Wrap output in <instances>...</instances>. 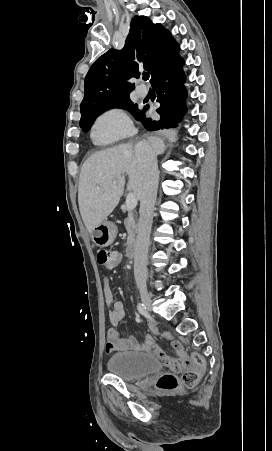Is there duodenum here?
I'll use <instances>...</instances> for the list:
<instances>
[{
	"mask_svg": "<svg viewBox=\"0 0 272 451\" xmlns=\"http://www.w3.org/2000/svg\"><path fill=\"white\" fill-rule=\"evenodd\" d=\"M135 255H136V250H135V247L134 246H129L128 248H127V257L129 258V259H134L135 258Z\"/></svg>",
	"mask_w": 272,
	"mask_h": 451,
	"instance_id": "1",
	"label": "duodenum"
}]
</instances>
